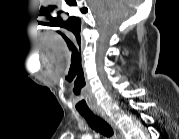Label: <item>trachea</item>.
Wrapping results in <instances>:
<instances>
[{"instance_id":"obj_1","label":"trachea","mask_w":179,"mask_h":139,"mask_svg":"<svg viewBox=\"0 0 179 139\" xmlns=\"http://www.w3.org/2000/svg\"><path fill=\"white\" fill-rule=\"evenodd\" d=\"M80 114L85 118V120L93 130L101 133L103 136L106 137L113 136L114 132L112 127L102 118L94 115L91 111L88 112L80 111Z\"/></svg>"}]
</instances>
